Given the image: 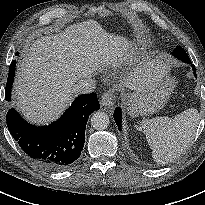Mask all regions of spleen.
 Here are the masks:
<instances>
[{
    "label": "spleen",
    "instance_id": "obj_1",
    "mask_svg": "<svg viewBox=\"0 0 205 205\" xmlns=\"http://www.w3.org/2000/svg\"><path fill=\"white\" fill-rule=\"evenodd\" d=\"M199 122V113L190 108L174 118L145 119L141 125L152 157L159 164H167L178 158L190 145Z\"/></svg>",
    "mask_w": 205,
    "mask_h": 205
}]
</instances>
